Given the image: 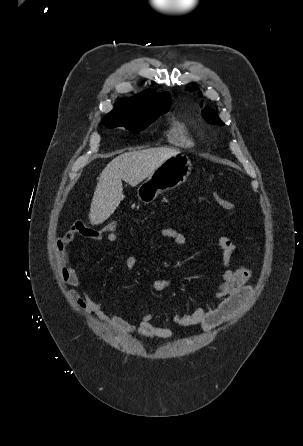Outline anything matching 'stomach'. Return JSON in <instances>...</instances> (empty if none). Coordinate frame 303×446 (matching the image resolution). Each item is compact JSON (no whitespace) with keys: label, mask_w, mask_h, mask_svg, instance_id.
I'll use <instances>...</instances> for the list:
<instances>
[{"label":"stomach","mask_w":303,"mask_h":446,"mask_svg":"<svg viewBox=\"0 0 303 446\" xmlns=\"http://www.w3.org/2000/svg\"><path fill=\"white\" fill-rule=\"evenodd\" d=\"M191 168L192 164L185 155L177 154L171 157L139 186L137 190L139 200L145 204L151 203L160 193L184 183L190 175Z\"/></svg>","instance_id":"stomach-1"}]
</instances>
